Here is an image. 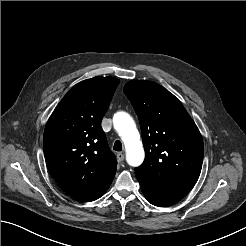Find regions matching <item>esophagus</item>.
Listing matches in <instances>:
<instances>
[{
  "label": "esophagus",
  "mask_w": 246,
  "mask_h": 246,
  "mask_svg": "<svg viewBox=\"0 0 246 246\" xmlns=\"http://www.w3.org/2000/svg\"><path fill=\"white\" fill-rule=\"evenodd\" d=\"M117 159L119 162H122L124 160V154L122 152L117 153Z\"/></svg>",
  "instance_id": "1"
}]
</instances>
